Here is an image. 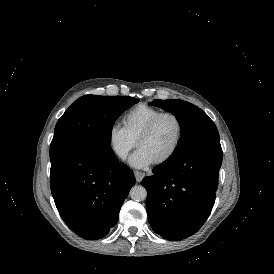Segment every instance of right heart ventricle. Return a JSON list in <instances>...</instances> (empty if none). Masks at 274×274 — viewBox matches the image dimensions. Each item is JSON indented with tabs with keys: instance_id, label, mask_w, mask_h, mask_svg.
<instances>
[{
	"instance_id": "right-heart-ventricle-1",
	"label": "right heart ventricle",
	"mask_w": 274,
	"mask_h": 274,
	"mask_svg": "<svg viewBox=\"0 0 274 274\" xmlns=\"http://www.w3.org/2000/svg\"><path fill=\"white\" fill-rule=\"evenodd\" d=\"M161 111L146 105H139L127 112L122 117L123 127L131 138L136 139L144 127L155 118Z\"/></svg>"
}]
</instances>
